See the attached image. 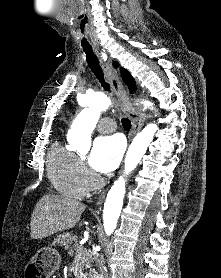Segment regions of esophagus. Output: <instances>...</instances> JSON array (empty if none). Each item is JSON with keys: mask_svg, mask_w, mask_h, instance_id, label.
Wrapping results in <instances>:
<instances>
[{"mask_svg": "<svg viewBox=\"0 0 221 278\" xmlns=\"http://www.w3.org/2000/svg\"><path fill=\"white\" fill-rule=\"evenodd\" d=\"M96 55L99 57L101 66L104 70V73L108 75L109 71H112V74L109 76L110 83L112 88L117 95L123 112L131 119L132 121V131H131V138L141 130L144 125L146 115L143 111L137 110L132 107L125 90L123 89V85L120 79V70L118 62H112L110 59L106 61L103 55L100 53L99 50L95 49ZM122 172V169L121 171ZM106 191H103L97 199L96 205L99 206L102 204L103 200L105 199Z\"/></svg>", "mask_w": 221, "mask_h": 278, "instance_id": "34e87169", "label": "esophagus"}]
</instances>
